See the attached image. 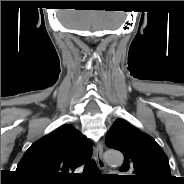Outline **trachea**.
<instances>
[{
  "label": "trachea",
  "instance_id": "1",
  "mask_svg": "<svg viewBox=\"0 0 184 184\" xmlns=\"http://www.w3.org/2000/svg\"><path fill=\"white\" fill-rule=\"evenodd\" d=\"M84 171L86 173L98 174L100 173L96 163L94 161H89L85 164Z\"/></svg>",
  "mask_w": 184,
  "mask_h": 184
}]
</instances>
